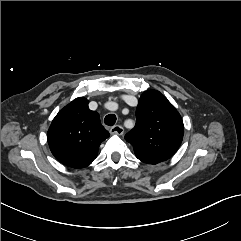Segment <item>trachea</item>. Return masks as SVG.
I'll return each instance as SVG.
<instances>
[{"label":"trachea","instance_id":"1","mask_svg":"<svg viewBox=\"0 0 241 241\" xmlns=\"http://www.w3.org/2000/svg\"><path fill=\"white\" fill-rule=\"evenodd\" d=\"M104 122L108 126H113L116 122V116L114 114H109L105 117Z\"/></svg>","mask_w":241,"mask_h":241}]
</instances>
